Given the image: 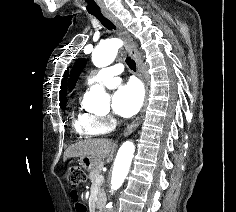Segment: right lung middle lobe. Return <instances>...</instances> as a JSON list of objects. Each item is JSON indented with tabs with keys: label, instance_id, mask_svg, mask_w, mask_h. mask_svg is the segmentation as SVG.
I'll use <instances>...</instances> for the list:
<instances>
[{
	"label": "right lung middle lobe",
	"instance_id": "1",
	"mask_svg": "<svg viewBox=\"0 0 236 212\" xmlns=\"http://www.w3.org/2000/svg\"><path fill=\"white\" fill-rule=\"evenodd\" d=\"M66 105V100H62L61 101V108L64 109Z\"/></svg>",
	"mask_w": 236,
	"mask_h": 212
}]
</instances>
